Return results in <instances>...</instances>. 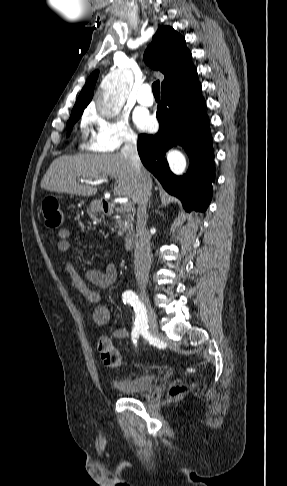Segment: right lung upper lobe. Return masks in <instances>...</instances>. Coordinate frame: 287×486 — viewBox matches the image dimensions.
<instances>
[{"label":"right lung upper lobe","mask_w":287,"mask_h":486,"mask_svg":"<svg viewBox=\"0 0 287 486\" xmlns=\"http://www.w3.org/2000/svg\"><path fill=\"white\" fill-rule=\"evenodd\" d=\"M185 43L184 37L172 27L161 26L145 51L146 63L165 76L161 84L162 90L176 87L197 76L196 68L192 63L191 52ZM97 77L98 70L89 76L71 114L83 113L84 108L87 107L93 97Z\"/></svg>","instance_id":"right-lung-upper-lobe-1"}]
</instances>
